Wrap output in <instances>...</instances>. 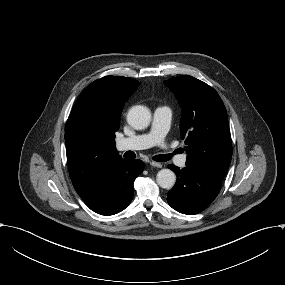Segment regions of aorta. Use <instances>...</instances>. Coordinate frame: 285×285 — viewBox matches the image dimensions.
<instances>
[{
	"label": "aorta",
	"mask_w": 285,
	"mask_h": 285,
	"mask_svg": "<svg viewBox=\"0 0 285 285\" xmlns=\"http://www.w3.org/2000/svg\"><path fill=\"white\" fill-rule=\"evenodd\" d=\"M127 121L129 125L137 130L144 129L150 124L151 112L145 106H134L128 112ZM156 180L161 188L170 189L175 184L176 175L170 169H161L157 173Z\"/></svg>",
	"instance_id": "obj_1"
}]
</instances>
